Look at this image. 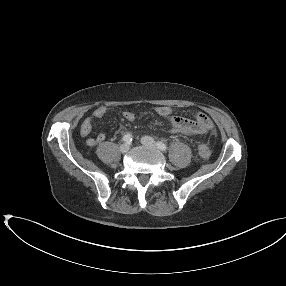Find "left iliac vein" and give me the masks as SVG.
Masks as SVG:
<instances>
[{"mask_svg":"<svg viewBox=\"0 0 286 286\" xmlns=\"http://www.w3.org/2000/svg\"><path fill=\"white\" fill-rule=\"evenodd\" d=\"M141 142H142V144L145 145V146L152 147V148H155V147H156V142H155V140H154L152 137H150V136H144V137H142Z\"/></svg>","mask_w":286,"mask_h":286,"instance_id":"1","label":"left iliac vein"}]
</instances>
